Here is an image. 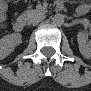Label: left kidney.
<instances>
[{
    "label": "left kidney",
    "instance_id": "obj_1",
    "mask_svg": "<svg viewBox=\"0 0 91 91\" xmlns=\"http://www.w3.org/2000/svg\"><path fill=\"white\" fill-rule=\"evenodd\" d=\"M77 41L79 44L80 53L84 57L89 58L91 55V48L90 45L87 43L86 34L83 32H79L77 35Z\"/></svg>",
    "mask_w": 91,
    "mask_h": 91
}]
</instances>
